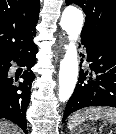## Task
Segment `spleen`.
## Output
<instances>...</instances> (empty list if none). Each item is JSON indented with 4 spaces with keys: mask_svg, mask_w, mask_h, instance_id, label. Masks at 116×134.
I'll use <instances>...</instances> for the list:
<instances>
[{
    "mask_svg": "<svg viewBox=\"0 0 116 134\" xmlns=\"http://www.w3.org/2000/svg\"><path fill=\"white\" fill-rule=\"evenodd\" d=\"M86 119H104L110 123H116V109L106 107H92L86 110L78 111L70 117L68 121V128L73 130L75 126L83 123Z\"/></svg>",
    "mask_w": 116,
    "mask_h": 134,
    "instance_id": "obj_1",
    "label": "spleen"
}]
</instances>
